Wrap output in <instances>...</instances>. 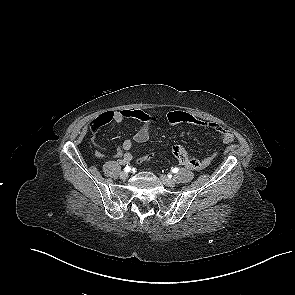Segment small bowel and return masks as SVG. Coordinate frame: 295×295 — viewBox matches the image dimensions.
Here are the masks:
<instances>
[{"mask_svg":"<svg viewBox=\"0 0 295 295\" xmlns=\"http://www.w3.org/2000/svg\"><path fill=\"white\" fill-rule=\"evenodd\" d=\"M160 118V115H152L139 109L106 111L93 120L91 128L94 133H97L103 126L111 122L121 123L127 119H136L140 121L142 125L133 135L132 139H126L116 147L115 157L120 159L123 164H128L133 159V156L130 152L133 143L147 142L150 138L152 126ZM165 119L173 125L189 124L210 129L216 133H219L222 137L223 142L227 144L234 141V135L230 130L222 127L217 123H207L200 121L188 112L179 110L170 111L165 115ZM184 133L185 132L182 131L181 135H184ZM173 154L181 165L192 170H202L208 167L213 159L216 157V153H212L202 159L191 158L187 154L186 150L180 145L173 147ZM95 156L97 158L105 157L104 153L101 150H97L95 152Z\"/></svg>","mask_w":295,"mask_h":295,"instance_id":"1","label":"small bowel"}]
</instances>
